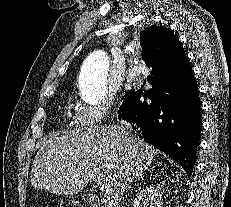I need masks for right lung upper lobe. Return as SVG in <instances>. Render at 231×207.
I'll return each instance as SVG.
<instances>
[{
	"label": "right lung upper lobe",
	"instance_id": "1",
	"mask_svg": "<svg viewBox=\"0 0 231 207\" xmlns=\"http://www.w3.org/2000/svg\"><path fill=\"white\" fill-rule=\"evenodd\" d=\"M153 31L140 42L142 59L152 69L181 70L189 65L182 43L164 27L153 26Z\"/></svg>",
	"mask_w": 231,
	"mask_h": 207
}]
</instances>
